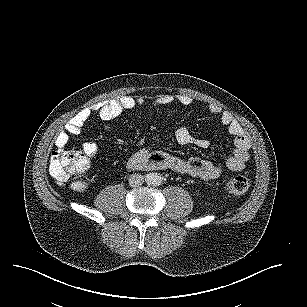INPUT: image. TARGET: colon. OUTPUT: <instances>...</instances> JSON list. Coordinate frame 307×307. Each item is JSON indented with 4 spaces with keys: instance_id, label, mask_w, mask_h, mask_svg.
<instances>
[{
    "instance_id": "1",
    "label": "colon",
    "mask_w": 307,
    "mask_h": 307,
    "mask_svg": "<svg viewBox=\"0 0 307 307\" xmlns=\"http://www.w3.org/2000/svg\"><path fill=\"white\" fill-rule=\"evenodd\" d=\"M88 169V157L78 148L54 152L50 158V174L61 183L72 180L75 187L83 186V178ZM250 185L251 181L247 176L234 175L227 179L225 189L229 194L242 195L249 190Z\"/></svg>"
}]
</instances>
